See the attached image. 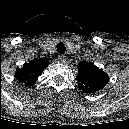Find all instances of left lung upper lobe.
Listing matches in <instances>:
<instances>
[{"label": "left lung upper lobe", "instance_id": "obj_1", "mask_svg": "<svg viewBox=\"0 0 129 129\" xmlns=\"http://www.w3.org/2000/svg\"><path fill=\"white\" fill-rule=\"evenodd\" d=\"M77 80L80 82L79 88L85 92H94L107 84L108 76L95 65L81 62L78 65Z\"/></svg>", "mask_w": 129, "mask_h": 129}]
</instances>
